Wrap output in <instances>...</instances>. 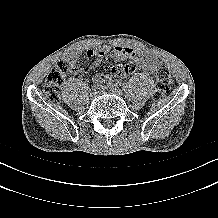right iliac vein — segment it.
Here are the masks:
<instances>
[{"label":"right iliac vein","mask_w":218,"mask_h":218,"mask_svg":"<svg viewBox=\"0 0 218 218\" xmlns=\"http://www.w3.org/2000/svg\"><path fill=\"white\" fill-rule=\"evenodd\" d=\"M99 91H100V87H98V88H92V93H91V95H92V96H96V95L99 93Z\"/></svg>","instance_id":"right-iliac-vein-1"}]
</instances>
